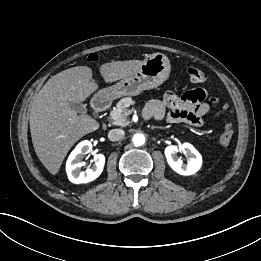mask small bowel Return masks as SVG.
<instances>
[{"mask_svg": "<svg viewBox=\"0 0 261 261\" xmlns=\"http://www.w3.org/2000/svg\"><path fill=\"white\" fill-rule=\"evenodd\" d=\"M206 91L194 89L178 96L172 92L167 93L162 101L152 100L146 106V115L156 119L165 116V109L171 110L169 120L172 122H184L192 126H202L204 116L209 107L205 103Z\"/></svg>", "mask_w": 261, "mask_h": 261, "instance_id": "small-bowel-1", "label": "small bowel"}]
</instances>
